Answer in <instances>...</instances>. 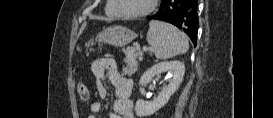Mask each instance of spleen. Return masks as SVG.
Instances as JSON below:
<instances>
[{
	"mask_svg": "<svg viewBox=\"0 0 273 118\" xmlns=\"http://www.w3.org/2000/svg\"><path fill=\"white\" fill-rule=\"evenodd\" d=\"M147 41L158 59H168L184 54L189 49L187 36L174 26L151 21L147 32Z\"/></svg>",
	"mask_w": 273,
	"mask_h": 118,
	"instance_id": "spleen-1",
	"label": "spleen"
}]
</instances>
